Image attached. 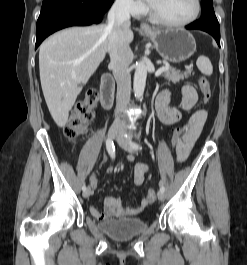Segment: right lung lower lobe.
I'll use <instances>...</instances> for the list:
<instances>
[{"label": "right lung lower lobe", "instance_id": "right-lung-lower-lobe-1", "mask_svg": "<svg viewBox=\"0 0 247 265\" xmlns=\"http://www.w3.org/2000/svg\"><path fill=\"white\" fill-rule=\"evenodd\" d=\"M114 0H43L36 26V45L69 26L99 23Z\"/></svg>", "mask_w": 247, "mask_h": 265}]
</instances>
